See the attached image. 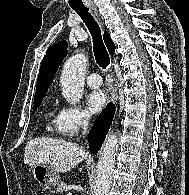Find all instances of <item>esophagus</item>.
Segmentation results:
<instances>
[{
	"instance_id": "34e87169",
	"label": "esophagus",
	"mask_w": 189,
	"mask_h": 195,
	"mask_svg": "<svg viewBox=\"0 0 189 195\" xmlns=\"http://www.w3.org/2000/svg\"><path fill=\"white\" fill-rule=\"evenodd\" d=\"M92 10H93V11L96 13V15H97V12H96L97 10H96V8H95V7H92ZM111 73L113 74V71H111ZM117 100H118L117 88L114 87L113 92H112V95H111V102L116 103Z\"/></svg>"
}]
</instances>
